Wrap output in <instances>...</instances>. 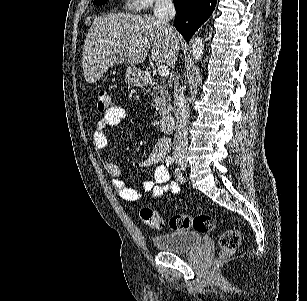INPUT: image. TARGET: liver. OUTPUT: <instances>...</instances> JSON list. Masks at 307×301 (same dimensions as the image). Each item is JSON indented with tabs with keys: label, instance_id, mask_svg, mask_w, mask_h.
Masks as SVG:
<instances>
[{
	"label": "liver",
	"instance_id": "obj_1",
	"mask_svg": "<svg viewBox=\"0 0 307 301\" xmlns=\"http://www.w3.org/2000/svg\"><path fill=\"white\" fill-rule=\"evenodd\" d=\"M155 62L174 66L179 50L177 36L150 14L110 12L94 18L84 40L83 74L87 82H97L104 72L119 62L141 64L151 48Z\"/></svg>",
	"mask_w": 307,
	"mask_h": 301
}]
</instances>
